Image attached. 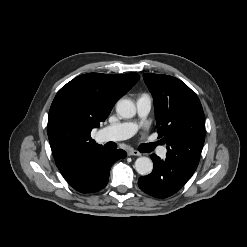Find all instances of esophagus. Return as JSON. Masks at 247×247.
<instances>
[{
	"label": "esophagus",
	"mask_w": 247,
	"mask_h": 247,
	"mask_svg": "<svg viewBox=\"0 0 247 247\" xmlns=\"http://www.w3.org/2000/svg\"><path fill=\"white\" fill-rule=\"evenodd\" d=\"M128 155L129 156H141V153L139 151H137V150L131 149V150L128 151Z\"/></svg>",
	"instance_id": "esophagus-1"
}]
</instances>
